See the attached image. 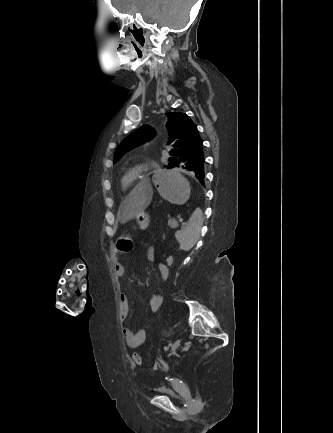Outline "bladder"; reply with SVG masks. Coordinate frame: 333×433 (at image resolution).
<instances>
[{
  "mask_svg": "<svg viewBox=\"0 0 333 433\" xmlns=\"http://www.w3.org/2000/svg\"><path fill=\"white\" fill-rule=\"evenodd\" d=\"M156 392L160 395L169 397L173 400H181L182 396L173 391L170 387L167 385H159L155 388Z\"/></svg>",
  "mask_w": 333,
  "mask_h": 433,
  "instance_id": "bladder-1",
  "label": "bladder"
}]
</instances>
